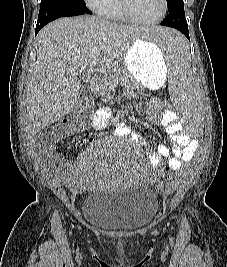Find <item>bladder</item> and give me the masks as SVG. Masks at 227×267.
Wrapping results in <instances>:
<instances>
[{
  "label": "bladder",
  "instance_id": "31cf9c89",
  "mask_svg": "<svg viewBox=\"0 0 227 267\" xmlns=\"http://www.w3.org/2000/svg\"><path fill=\"white\" fill-rule=\"evenodd\" d=\"M158 210L155 193L139 186L118 190H92L82 204V215L92 226L126 231L146 225Z\"/></svg>",
  "mask_w": 227,
  "mask_h": 267
}]
</instances>
